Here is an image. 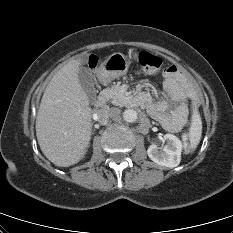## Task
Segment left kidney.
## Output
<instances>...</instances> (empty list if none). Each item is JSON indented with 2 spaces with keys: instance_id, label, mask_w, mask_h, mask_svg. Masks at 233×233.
<instances>
[{
  "instance_id": "5707ae66",
  "label": "left kidney",
  "mask_w": 233,
  "mask_h": 233,
  "mask_svg": "<svg viewBox=\"0 0 233 233\" xmlns=\"http://www.w3.org/2000/svg\"><path fill=\"white\" fill-rule=\"evenodd\" d=\"M166 145L160 150L155 144L148 147L149 158L158 165L173 168L178 166L183 148L182 142L173 134H165Z\"/></svg>"
}]
</instances>
